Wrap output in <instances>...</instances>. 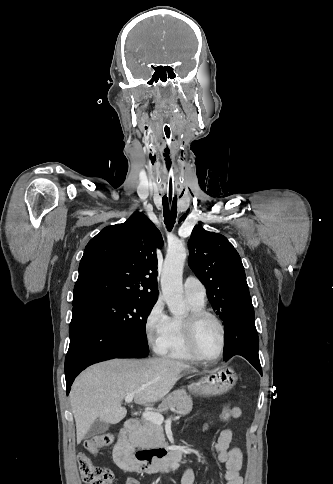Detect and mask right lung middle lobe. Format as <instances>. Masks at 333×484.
Listing matches in <instances>:
<instances>
[{"instance_id": "right-lung-middle-lobe-1", "label": "right lung middle lobe", "mask_w": 333, "mask_h": 484, "mask_svg": "<svg viewBox=\"0 0 333 484\" xmlns=\"http://www.w3.org/2000/svg\"><path fill=\"white\" fill-rule=\"evenodd\" d=\"M156 300L113 295H89L74 305L84 306L130 340L148 350L145 324Z\"/></svg>"}]
</instances>
